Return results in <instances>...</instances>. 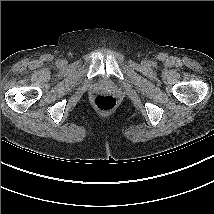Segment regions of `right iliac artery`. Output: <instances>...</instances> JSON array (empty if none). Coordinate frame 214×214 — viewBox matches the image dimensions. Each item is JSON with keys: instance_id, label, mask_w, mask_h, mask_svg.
<instances>
[{"instance_id": "right-iliac-artery-1", "label": "right iliac artery", "mask_w": 214, "mask_h": 214, "mask_svg": "<svg viewBox=\"0 0 214 214\" xmlns=\"http://www.w3.org/2000/svg\"><path fill=\"white\" fill-rule=\"evenodd\" d=\"M61 63H62L61 61H58V62H57L58 65H61Z\"/></svg>"}]
</instances>
